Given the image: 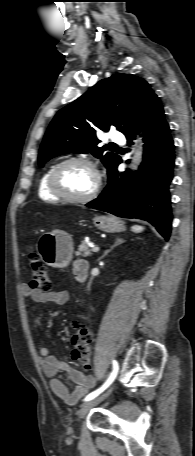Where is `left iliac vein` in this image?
<instances>
[{
    "label": "left iliac vein",
    "mask_w": 195,
    "mask_h": 456,
    "mask_svg": "<svg viewBox=\"0 0 195 456\" xmlns=\"http://www.w3.org/2000/svg\"><path fill=\"white\" fill-rule=\"evenodd\" d=\"M112 389L113 387H111L107 392H105L101 396L83 403L80 407V410L78 411L79 419H82L88 413L89 410H91L94 406L98 405L100 402L106 399L111 393Z\"/></svg>",
    "instance_id": "1"
}]
</instances>
